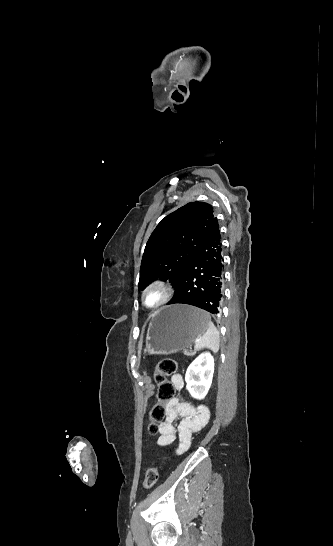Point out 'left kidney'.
Returning a JSON list of instances; mask_svg holds the SVG:
<instances>
[{
  "instance_id": "5707ae66",
  "label": "left kidney",
  "mask_w": 333,
  "mask_h": 546,
  "mask_svg": "<svg viewBox=\"0 0 333 546\" xmlns=\"http://www.w3.org/2000/svg\"><path fill=\"white\" fill-rule=\"evenodd\" d=\"M214 358L206 352L200 354L188 367L185 375L186 388L192 397L203 399L211 386Z\"/></svg>"
}]
</instances>
